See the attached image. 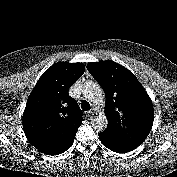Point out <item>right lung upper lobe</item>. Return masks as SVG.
Segmentation results:
<instances>
[{"label":"right lung upper lobe","mask_w":177,"mask_h":177,"mask_svg":"<svg viewBox=\"0 0 177 177\" xmlns=\"http://www.w3.org/2000/svg\"><path fill=\"white\" fill-rule=\"evenodd\" d=\"M84 70L81 63H56L40 77L28 98L23 128L28 140L46 148L42 149L44 152L62 149L73 140L83 121L82 112L68 90Z\"/></svg>","instance_id":"right-lung-upper-lobe-1"}]
</instances>
